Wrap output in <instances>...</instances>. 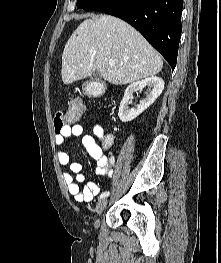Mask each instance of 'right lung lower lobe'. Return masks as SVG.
Masks as SVG:
<instances>
[{
	"label": "right lung lower lobe",
	"instance_id": "obj_1",
	"mask_svg": "<svg viewBox=\"0 0 221 263\" xmlns=\"http://www.w3.org/2000/svg\"><path fill=\"white\" fill-rule=\"evenodd\" d=\"M182 6V0H103L93 10L128 22L174 70L182 31Z\"/></svg>",
	"mask_w": 221,
	"mask_h": 263
}]
</instances>
